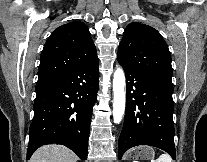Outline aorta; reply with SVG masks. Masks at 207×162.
Here are the masks:
<instances>
[{"label": "aorta", "mask_w": 207, "mask_h": 162, "mask_svg": "<svg viewBox=\"0 0 207 162\" xmlns=\"http://www.w3.org/2000/svg\"><path fill=\"white\" fill-rule=\"evenodd\" d=\"M113 118L114 123H120L125 112V74L117 68L113 75Z\"/></svg>", "instance_id": "1"}]
</instances>
